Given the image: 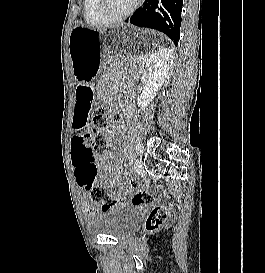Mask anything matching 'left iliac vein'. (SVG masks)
Here are the masks:
<instances>
[{
    "instance_id": "1",
    "label": "left iliac vein",
    "mask_w": 265,
    "mask_h": 273,
    "mask_svg": "<svg viewBox=\"0 0 265 273\" xmlns=\"http://www.w3.org/2000/svg\"><path fill=\"white\" fill-rule=\"evenodd\" d=\"M137 146L140 147L141 151L143 150V145L141 143H138ZM134 170L137 174H141L143 171V163L140 158L136 159L134 164Z\"/></svg>"
}]
</instances>
